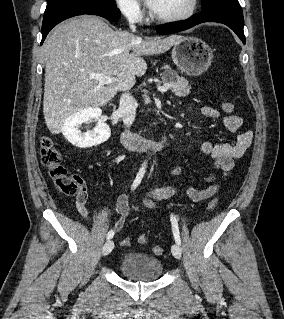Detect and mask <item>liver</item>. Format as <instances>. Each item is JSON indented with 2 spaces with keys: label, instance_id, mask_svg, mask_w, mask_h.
Segmentation results:
<instances>
[{
  "label": "liver",
  "instance_id": "liver-1",
  "mask_svg": "<svg viewBox=\"0 0 284 319\" xmlns=\"http://www.w3.org/2000/svg\"><path fill=\"white\" fill-rule=\"evenodd\" d=\"M181 38L170 35L143 40L126 31H114L105 21L90 15L57 26L43 45V113L50 132L59 134L74 113L105 106L120 89L131 88L135 76L147 70L142 56L164 53ZM96 74L115 80L100 84L92 78Z\"/></svg>",
  "mask_w": 284,
  "mask_h": 319
}]
</instances>
